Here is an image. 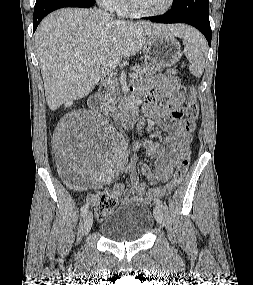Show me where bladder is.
Returning <instances> with one entry per match:
<instances>
[{"instance_id":"1","label":"bladder","mask_w":253,"mask_h":285,"mask_svg":"<svg viewBox=\"0 0 253 285\" xmlns=\"http://www.w3.org/2000/svg\"><path fill=\"white\" fill-rule=\"evenodd\" d=\"M151 209L139 202L124 201L108 211L100 225L102 235L114 242H136L153 227Z\"/></svg>"}]
</instances>
